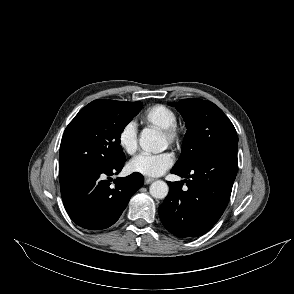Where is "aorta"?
Here are the masks:
<instances>
[{
  "label": "aorta",
  "mask_w": 294,
  "mask_h": 294,
  "mask_svg": "<svg viewBox=\"0 0 294 294\" xmlns=\"http://www.w3.org/2000/svg\"><path fill=\"white\" fill-rule=\"evenodd\" d=\"M162 138L159 133L152 129H144L139 138L140 147L151 153H158L161 148ZM150 194L156 199H164L169 191L168 185L162 180H157L150 185Z\"/></svg>",
  "instance_id": "obj_1"
}]
</instances>
